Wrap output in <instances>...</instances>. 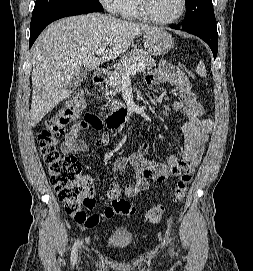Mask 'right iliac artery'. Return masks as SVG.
I'll use <instances>...</instances> for the list:
<instances>
[{
	"label": "right iliac artery",
	"mask_w": 253,
	"mask_h": 271,
	"mask_svg": "<svg viewBox=\"0 0 253 271\" xmlns=\"http://www.w3.org/2000/svg\"><path fill=\"white\" fill-rule=\"evenodd\" d=\"M78 246H79V241H75L73 248H72V252H71V261L72 264L74 265L76 260H77V250H78Z\"/></svg>",
	"instance_id": "82829eb1"
}]
</instances>
